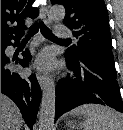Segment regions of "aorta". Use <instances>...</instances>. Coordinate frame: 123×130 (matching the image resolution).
I'll list each match as a JSON object with an SVG mask.
<instances>
[{"label":"aorta","mask_w":123,"mask_h":130,"mask_svg":"<svg viewBox=\"0 0 123 130\" xmlns=\"http://www.w3.org/2000/svg\"><path fill=\"white\" fill-rule=\"evenodd\" d=\"M49 16L54 21H60L65 16V8L54 5L50 8ZM55 82L52 76L46 78L42 90L41 107L39 114V130H52L55 118Z\"/></svg>","instance_id":"762f6f07"}]
</instances>
